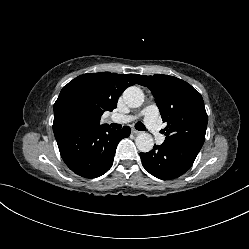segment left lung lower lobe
I'll list each match as a JSON object with an SVG mask.
<instances>
[{
	"mask_svg": "<svg viewBox=\"0 0 249 249\" xmlns=\"http://www.w3.org/2000/svg\"><path fill=\"white\" fill-rule=\"evenodd\" d=\"M200 150L183 144L154 145L147 153H140L144 168L153 176L169 180L184 174L194 163Z\"/></svg>",
	"mask_w": 249,
	"mask_h": 249,
	"instance_id": "left-lung-lower-lobe-1",
	"label": "left lung lower lobe"
}]
</instances>
